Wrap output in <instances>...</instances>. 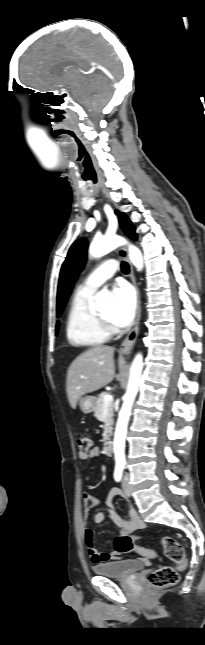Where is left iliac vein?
<instances>
[{
    "instance_id": "4c4485c4",
    "label": "left iliac vein",
    "mask_w": 205,
    "mask_h": 645,
    "mask_svg": "<svg viewBox=\"0 0 205 645\" xmlns=\"http://www.w3.org/2000/svg\"><path fill=\"white\" fill-rule=\"evenodd\" d=\"M122 488H123V492H124V494H125L126 496L130 497V495H131V489H130V485H129V476H128V474H126V475L124 476V478H123V481H122Z\"/></svg>"
}]
</instances>
